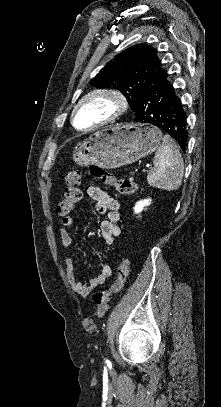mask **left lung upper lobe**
Here are the masks:
<instances>
[{
	"label": "left lung upper lobe",
	"mask_w": 221,
	"mask_h": 407,
	"mask_svg": "<svg viewBox=\"0 0 221 407\" xmlns=\"http://www.w3.org/2000/svg\"><path fill=\"white\" fill-rule=\"evenodd\" d=\"M164 73L154 48L138 44L117 54L90 84L97 88L118 89L135 112L141 91Z\"/></svg>",
	"instance_id": "left-lung-upper-lobe-1"
}]
</instances>
